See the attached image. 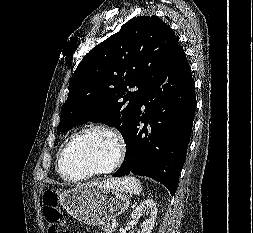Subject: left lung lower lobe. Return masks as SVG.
Wrapping results in <instances>:
<instances>
[{
  "label": "left lung lower lobe",
  "instance_id": "left-lung-lower-lobe-1",
  "mask_svg": "<svg viewBox=\"0 0 253 233\" xmlns=\"http://www.w3.org/2000/svg\"><path fill=\"white\" fill-rule=\"evenodd\" d=\"M195 109L191 68L178 44L163 77L149 88L134 114L124 138L126 156L113 177L147 176L174 195L186 159Z\"/></svg>",
  "mask_w": 253,
  "mask_h": 233
}]
</instances>
